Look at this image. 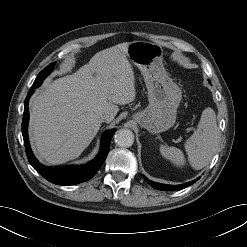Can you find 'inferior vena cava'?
<instances>
[{
	"mask_svg": "<svg viewBox=\"0 0 247 247\" xmlns=\"http://www.w3.org/2000/svg\"><path fill=\"white\" fill-rule=\"evenodd\" d=\"M99 119L101 122H108L111 120V116L109 114H102Z\"/></svg>",
	"mask_w": 247,
	"mask_h": 247,
	"instance_id": "inferior-vena-cava-1",
	"label": "inferior vena cava"
}]
</instances>
